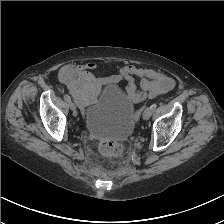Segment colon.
Returning a JSON list of instances; mask_svg holds the SVG:
<instances>
[{
    "label": "colon",
    "mask_w": 224,
    "mask_h": 224,
    "mask_svg": "<svg viewBox=\"0 0 224 224\" xmlns=\"http://www.w3.org/2000/svg\"><path fill=\"white\" fill-rule=\"evenodd\" d=\"M63 75L70 92L81 105L90 104L96 99L98 89L93 76L86 69L67 68ZM98 149L105 156L116 157L122 154L123 145L114 139H104L99 142Z\"/></svg>",
    "instance_id": "colon-1"
}]
</instances>
